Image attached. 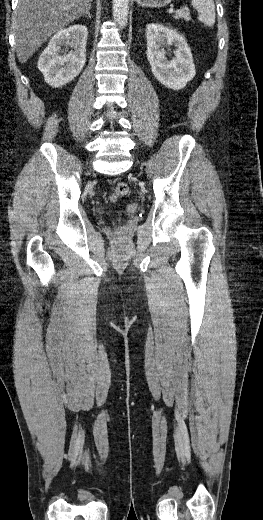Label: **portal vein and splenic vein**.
Masks as SVG:
<instances>
[{"label": "portal vein and splenic vein", "instance_id": "portal-vein-and-splenic-vein-1", "mask_svg": "<svg viewBox=\"0 0 263 520\" xmlns=\"http://www.w3.org/2000/svg\"><path fill=\"white\" fill-rule=\"evenodd\" d=\"M173 12H174V9H173V7H171V8L169 9V13H173Z\"/></svg>", "mask_w": 263, "mask_h": 520}]
</instances>
